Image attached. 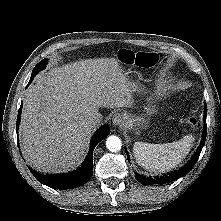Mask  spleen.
I'll list each match as a JSON object with an SVG mask.
<instances>
[{
	"mask_svg": "<svg viewBox=\"0 0 221 221\" xmlns=\"http://www.w3.org/2000/svg\"><path fill=\"white\" fill-rule=\"evenodd\" d=\"M194 137L184 136L179 141L164 144L135 142L134 157L138 165L153 172H168L178 166L189 153Z\"/></svg>",
	"mask_w": 221,
	"mask_h": 221,
	"instance_id": "3e777b00",
	"label": "spleen"
}]
</instances>
